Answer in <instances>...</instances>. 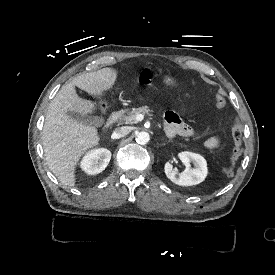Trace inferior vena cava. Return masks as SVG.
I'll return each instance as SVG.
<instances>
[{
    "label": "inferior vena cava",
    "instance_id": "obj_1",
    "mask_svg": "<svg viewBox=\"0 0 275 275\" xmlns=\"http://www.w3.org/2000/svg\"><path fill=\"white\" fill-rule=\"evenodd\" d=\"M130 132H131L130 127H119L113 131L112 138L113 139L123 138L124 136L130 134Z\"/></svg>",
    "mask_w": 275,
    "mask_h": 275
}]
</instances>
